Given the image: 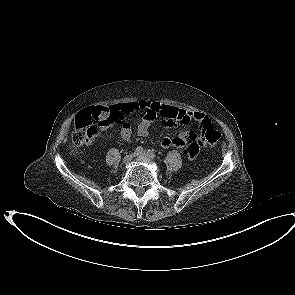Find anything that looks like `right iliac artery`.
Instances as JSON below:
<instances>
[{"label": "right iliac artery", "mask_w": 295, "mask_h": 295, "mask_svg": "<svg viewBox=\"0 0 295 295\" xmlns=\"http://www.w3.org/2000/svg\"><path fill=\"white\" fill-rule=\"evenodd\" d=\"M135 152H136V154L143 153V147H141V146L137 147L136 150H135Z\"/></svg>", "instance_id": "1"}]
</instances>
